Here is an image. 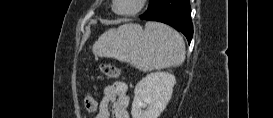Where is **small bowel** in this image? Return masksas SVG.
<instances>
[{"label": "small bowel", "instance_id": "1", "mask_svg": "<svg viewBox=\"0 0 273 118\" xmlns=\"http://www.w3.org/2000/svg\"><path fill=\"white\" fill-rule=\"evenodd\" d=\"M88 97L96 102L98 108L96 118H128L129 95L128 87L124 82L118 81L105 86L99 104L93 97Z\"/></svg>", "mask_w": 273, "mask_h": 118}]
</instances>
